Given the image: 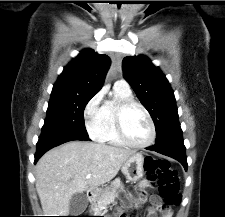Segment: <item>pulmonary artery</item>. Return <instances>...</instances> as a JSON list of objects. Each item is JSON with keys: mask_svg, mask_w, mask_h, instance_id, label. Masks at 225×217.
<instances>
[{"mask_svg": "<svg viewBox=\"0 0 225 217\" xmlns=\"http://www.w3.org/2000/svg\"><path fill=\"white\" fill-rule=\"evenodd\" d=\"M114 87L118 88V89H121L123 91H126V92H130L131 91L130 85L124 79H120V80L116 81L115 84H114Z\"/></svg>", "mask_w": 225, "mask_h": 217, "instance_id": "1", "label": "pulmonary artery"}]
</instances>
